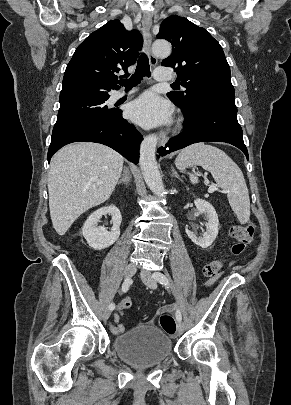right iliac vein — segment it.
I'll list each match as a JSON object with an SVG mask.
<instances>
[{
	"label": "right iliac vein",
	"mask_w": 291,
	"mask_h": 405,
	"mask_svg": "<svg viewBox=\"0 0 291 405\" xmlns=\"http://www.w3.org/2000/svg\"><path fill=\"white\" fill-rule=\"evenodd\" d=\"M136 270H137V268L134 264L127 265L125 272H124L125 277L126 278L132 277L136 273ZM110 314H111V310L109 308H106L103 312V319L106 321L110 317Z\"/></svg>",
	"instance_id": "right-iliac-vein-1"
}]
</instances>
